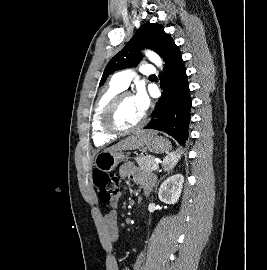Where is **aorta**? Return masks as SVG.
<instances>
[{"mask_svg":"<svg viewBox=\"0 0 267 270\" xmlns=\"http://www.w3.org/2000/svg\"><path fill=\"white\" fill-rule=\"evenodd\" d=\"M145 55L152 63H154L157 67L162 69L163 61L158 54H156L155 52L151 50H146Z\"/></svg>","mask_w":267,"mask_h":270,"instance_id":"762f6f07","label":"aorta"}]
</instances>
